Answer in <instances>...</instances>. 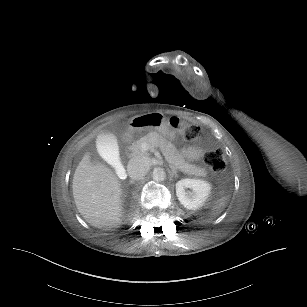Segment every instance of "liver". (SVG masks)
Instances as JSON below:
<instances>
[{
    "mask_svg": "<svg viewBox=\"0 0 307 307\" xmlns=\"http://www.w3.org/2000/svg\"><path fill=\"white\" fill-rule=\"evenodd\" d=\"M72 188L76 207L86 222L98 228L120 224L122 190L110 168L92 163L85 154L75 170Z\"/></svg>",
    "mask_w": 307,
    "mask_h": 307,
    "instance_id": "liver-1",
    "label": "liver"
}]
</instances>
